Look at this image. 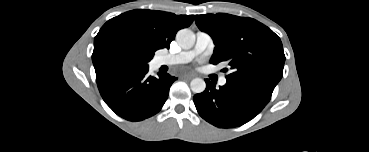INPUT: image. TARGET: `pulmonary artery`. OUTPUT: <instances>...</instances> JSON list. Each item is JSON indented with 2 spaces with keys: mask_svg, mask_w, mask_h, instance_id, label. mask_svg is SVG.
<instances>
[{
  "mask_svg": "<svg viewBox=\"0 0 369 152\" xmlns=\"http://www.w3.org/2000/svg\"><path fill=\"white\" fill-rule=\"evenodd\" d=\"M214 49V42L212 37L206 32H198L196 35V42L192 49L181 51L175 54H166L158 57L157 65H177L191 62L196 56L202 53H211ZM227 82L225 77L219 80L220 85H225Z\"/></svg>",
  "mask_w": 369,
  "mask_h": 152,
  "instance_id": "1",
  "label": "pulmonary artery"
}]
</instances>
